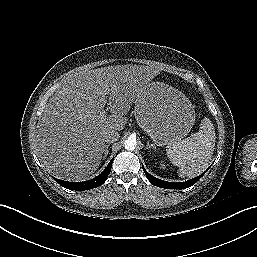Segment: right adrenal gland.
<instances>
[{
  "mask_svg": "<svg viewBox=\"0 0 257 257\" xmlns=\"http://www.w3.org/2000/svg\"><path fill=\"white\" fill-rule=\"evenodd\" d=\"M109 146H110V144H107L106 145V152H105V154H104V156H103V158H106L107 157V155H108V152H109Z\"/></svg>",
  "mask_w": 257,
  "mask_h": 257,
  "instance_id": "obj_1",
  "label": "right adrenal gland"
}]
</instances>
